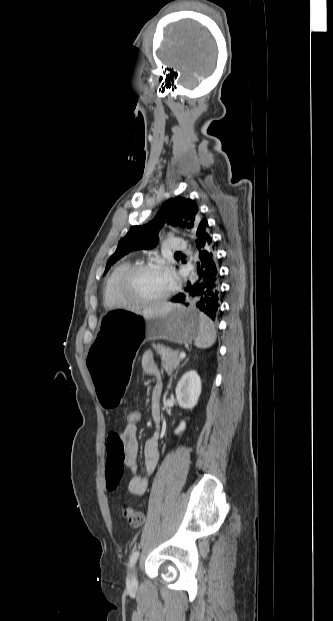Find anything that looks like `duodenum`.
I'll use <instances>...</instances> for the list:
<instances>
[{
	"instance_id": "duodenum-1",
	"label": "duodenum",
	"mask_w": 333,
	"mask_h": 621,
	"mask_svg": "<svg viewBox=\"0 0 333 621\" xmlns=\"http://www.w3.org/2000/svg\"><path fill=\"white\" fill-rule=\"evenodd\" d=\"M154 420H155L156 422H158V421H159V417H158V416H155Z\"/></svg>"
}]
</instances>
